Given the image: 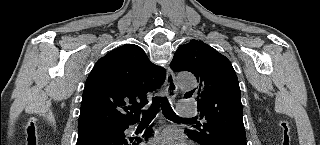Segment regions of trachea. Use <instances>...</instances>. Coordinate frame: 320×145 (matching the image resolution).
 I'll list each match as a JSON object with an SVG mask.
<instances>
[{
  "instance_id": "1",
  "label": "trachea",
  "mask_w": 320,
  "mask_h": 145,
  "mask_svg": "<svg viewBox=\"0 0 320 145\" xmlns=\"http://www.w3.org/2000/svg\"><path fill=\"white\" fill-rule=\"evenodd\" d=\"M160 102H161V109L166 118L171 120L191 119V118H181L177 116L176 113L173 111L172 107L170 106V104L167 102V99L165 97L164 98L155 97L151 105V108L148 111L143 112L141 121H147V122L152 121L156 116V113L160 107Z\"/></svg>"
}]
</instances>
